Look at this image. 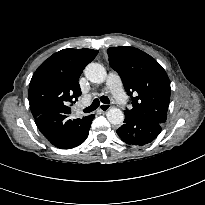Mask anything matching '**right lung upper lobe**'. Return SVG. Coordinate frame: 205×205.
I'll list each match as a JSON object with an SVG mask.
<instances>
[{
    "mask_svg": "<svg viewBox=\"0 0 205 205\" xmlns=\"http://www.w3.org/2000/svg\"><path fill=\"white\" fill-rule=\"evenodd\" d=\"M97 53L92 49H63L38 67L29 85V104L34 118L50 110L71 113L69 104L81 95L79 77Z\"/></svg>",
    "mask_w": 205,
    "mask_h": 205,
    "instance_id": "right-lung-upper-lobe-1",
    "label": "right lung upper lobe"
}]
</instances>
